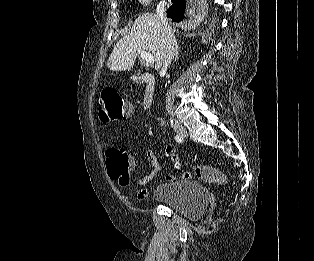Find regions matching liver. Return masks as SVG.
Returning a JSON list of instances; mask_svg holds the SVG:
<instances>
[{"instance_id":"1","label":"liver","mask_w":314,"mask_h":261,"mask_svg":"<svg viewBox=\"0 0 314 261\" xmlns=\"http://www.w3.org/2000/svg\"><path fill=\"white\" fill-rule=\"evenodd\" d=\"M164 35L158 15L144 13L135 19L131 31L115 45L107 62L111 71H124L133 67L141 50L154 56L155 70L162 66Z\"/></svg>"}]
</instances>
